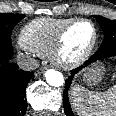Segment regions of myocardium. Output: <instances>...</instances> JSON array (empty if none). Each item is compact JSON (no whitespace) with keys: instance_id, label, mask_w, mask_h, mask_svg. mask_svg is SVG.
<instances>
[{"instance_id":"obj_1","label":"myocardium","mask_w":116,"mask_h":116,"mask_svg":"<svg viewBox=\"0 0 116 116\" xmlns=\"http://www.w3.org/2000/svg\"><path fill=\"white\" fill-rule=\"evenodd\" d=\"M79 23H87L92 28V38L84 51L74 59H67L64 55L65 38L69 31ZM98 40V30L94 22L86 18L71 20L58 33L54 46L51 50V59L58 67L66 70L74 69L84 64L91 56Z\"/></svg>"}]
</instances>
